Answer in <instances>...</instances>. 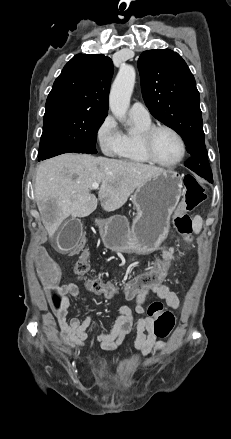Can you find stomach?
Segmentation results:
<instances>
[{
	"mask_svg": "<svg viewBox=\"0 0 231 439\" xmlns=\"http://www.w3.org/2000/svg\"><path fill=\"white\" fill-rule=\"evenodd\" d=\"M182 188L180 175L169 170L137 187L131 196L137 212L131 225L119 215L99 224L104 245L120 253L148 255L156 251L168 235L170 218Z\"/></svg>",
	"mask_w": 231,
	"mask_h": 439,
	"instance_id": "1",
	"label": "stomach"
}]
</instances>
